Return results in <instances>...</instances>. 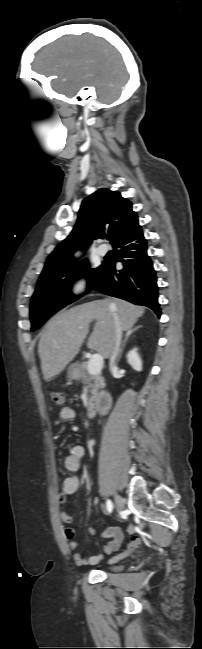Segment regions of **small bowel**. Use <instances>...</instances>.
Masks as SVG:
<instances>
[{"instance_id":"obj_1","label":"small bowel","mask_w":202,"mask_h":649,"mask_svg":"<svg viewBox=\"0 0 202 649\" xmlns=\"http://www.w3.org/2000/svg\"><path fill=\"white\" fill-rule=\"evenodd\" d=\"M75 411L73 408L66 406L62 408L59 412V421L61 423H67L74 419ZM84 455V448L81 445H76L71 448L69 454L65 457L64 467L70 473H77L81 468V462ZM80 487L79 478L75 475H70L66 477L63 481V485L59 494V500L64 503L67 499L76 493ZM60 518L63 524L69 525L72 523V517L67 508H62L60 512ZM92 535L108 539L109 541L104 545L103 554H92V555H83L82 553L75 552L73 554V560L78 566H94L103 562L105 555L112 554L119 550L124 534L119 527H110L101 534H98L94 529H90ZM64 537L67 540V546L70 550H76L78 547V542L75 540V532L72 528H66L64 530ZM128 551L111 556L108 559L109 564H113L122 559L127 555Z\"/></svg>"}]
</instances>
